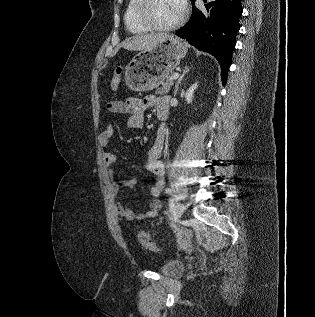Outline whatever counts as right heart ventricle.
Here are the masks:
<instances>
[{"instance_id":"e07e8e85","label":"right heart ventricle","mask_w":315,"mask_h":317,"mask_svg":"<svg viewBox=\"0 0 315 317\" xmlns=\"http://www.w3.org/2000/svg\"><path fill=\"white\" fill-rule=\"evenodd\" d=\"M140 0H129L124 12V23L126 29L132 34H143L148 31L143 25L140 24L137 18V9Z\"/></svg>"}]
</instances>
